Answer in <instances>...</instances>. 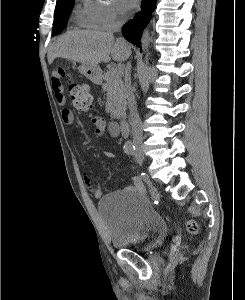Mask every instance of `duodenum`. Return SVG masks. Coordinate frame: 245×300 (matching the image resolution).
Masks as SVG:
<instances>
[{
  "label": "duodenum",
  "instance_id": "obj_1",
  "mask_svg": "<svg viewBox=\"0 0 245 300\" xmlns=\"http://www.w3.org/2000/svg\"><path fill=\"white\" fill-rule=\"evenodd\" d=\"M119 128L122 135H127L129 131V123L128 120L125 117H121L119 119Z\"/></svg>",
  "mask_w": 245,
  "mask_h": 300
}]
</instances>
